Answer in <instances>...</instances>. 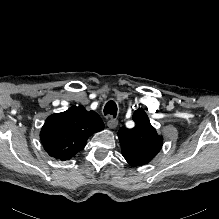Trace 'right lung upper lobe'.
Instances as JSON below:
<instances>
[{"label": "right lung upper lobe", "instance_id": "right-lung-upper-lobe-1", "mask_svg": "<svg viewBox=\"0 0 219 219\" xmlns=\"http://www.w3.org/2000/svg\"><path fill=\"white\" fill-rule=\"evenodd\" d=\"M102 129L104 123L96 112L74 105L65 112L49 116L40 138L51 157L65 161L82 150L93 133Z\"/></svg>", "mask_w": 219, "mask_h": 219}]
</instances>
